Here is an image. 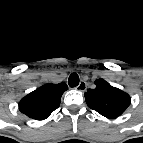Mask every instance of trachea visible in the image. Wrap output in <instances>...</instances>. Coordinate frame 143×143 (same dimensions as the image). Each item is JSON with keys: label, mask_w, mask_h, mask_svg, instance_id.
I'll return each instance as SVG.
<instances>
[{"label": "trachea", "mask_w": 143, "mask_h": 143, "mask_svg": "<svg viewBox=\"0 0 143 143\" xmlns=\"http://www.w3.org/2000/svg\"><path fill=\"white\" fill-rule=\"evenodd\" d=\"M68 84L70 87H76L79 84V76L76 73H72L69 76Z\"/></svg>", "instance_id": "3493384b"}]
</instances>
